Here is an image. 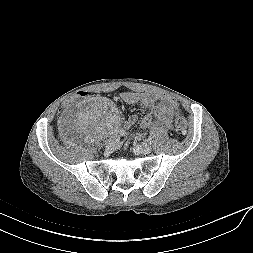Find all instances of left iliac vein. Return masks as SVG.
<instances>
[{"instance_id": "1", "label": "left iliac vein", "mask_w": 253, "mask_h": 253, "mask_svg": "<svg viewBox=\"0 0 253 253\" xmlns=\"http://www.w3.org/2000/svg\"><path fill=\"white\" fill-rule=\"evenodd\" d=\"M151 151H152L151 146L146 145V144H143V145H136V146L134 147V152H135L136 154H144V155H146V154L151 153Z\"/></svg>"}]
</instances>
